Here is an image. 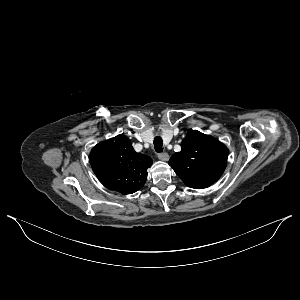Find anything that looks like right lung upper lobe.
Instances as JSON below:
<instances>
[{
	"label": "right lung upper lobe",
	"instance_id": "1",
	"mask_svg": "<svg viewBox=\"0 0 300 300\" xmlns=\"http://www.w3.org/2000/svg\"><path fill=\"white\" fill-rule=\"evenodd\" d=\"M89 160L100 182L121 194L139 190L145 184L147 169L153 163L149 156L137 153L122 134L97 144Z\"/></svg>",
	"mask_w": 300,
	"mask_h": 300
}]
</instances>
